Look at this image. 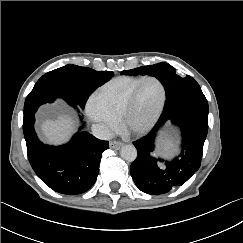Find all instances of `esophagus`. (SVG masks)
Segmentation results:
<instances>
[{"label":"esophagus","mask_w":243,"mask_h":243,"mask_svg":"<svg viewBox=\"0 0 243 243\" xmlns=\"http://www.w3.org/2000/svg\"><path fill=\"white\" fill-rule=\"evenodd\" d=\"M109 145H110L111 149L118 150L122 147L123 144L121 142H118V141H112V142H110Z\"/></svg>","instance_id":"1"}]
</instances>
